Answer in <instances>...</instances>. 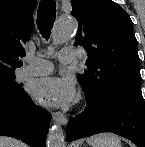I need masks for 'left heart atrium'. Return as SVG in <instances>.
<instances>
[{"mask_svg":"<svg viewBox=\"0 0 145 147\" xmlns=\"http://www.w3.org/2000/svg\"><path fill=\"white\" fill-rule=\"evenodd\" d=\"M35 100L51 107H64L75 96V87L71 79L46 77L35 82L32 89Z\"/></svg>","mask_w":145,"mask_h":147,"instance_id":"39dd6f15","label":"left heart atrium"}]
</instances>
